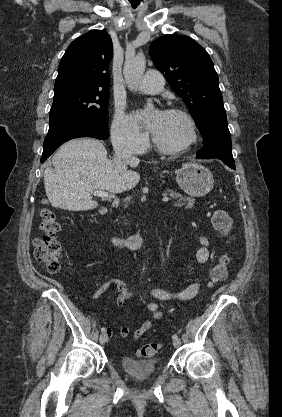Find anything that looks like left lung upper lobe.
<instances>
[{
    "label": "left lung upper lobe",
    "instance_id": "left-lung-upper-lobe-1",
    "mask_svg": "<svg viewBox=\"0 0 282 417\" xmlns=\"http://www.w3.org/2000/svg\"><path fill=\"white\" fill-rule=\"evenodd\" d=\"M149 52L157 69L182 97L200 132L212 119L226 117L218 75L202 46L188 36L164 35L151 43Z\"/></svg>",
    "mask_w": 282,
    "mask_h": 417
}]
</instances>
